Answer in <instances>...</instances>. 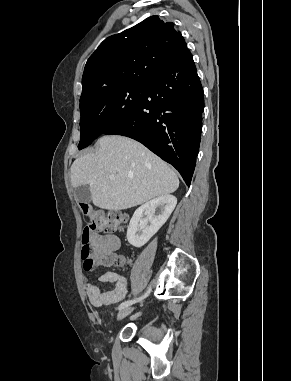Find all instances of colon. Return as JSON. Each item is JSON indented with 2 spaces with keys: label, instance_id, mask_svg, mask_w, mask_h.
<instances>
[{
  "label": "colon",
  "instance_id": "5ec220e1",
  "mask_svg": "<svg viewBox=\"0 0 291 381\" xmlns=\"http://www.w3.org/2000/svg\"><path fill=\"white\" fill-rule=\"evenodd\" d=\"M80 208L84 216L89 220V224L84 228L81 236V259L86 271H92L96 265L94 255L98 253L96 246L92 244L94 234L104 232H114L121 230L127 223L128 217L119 211L105 212L89 203H80ZM98 258L102 265H122L124 260L112 252H103Z\"/></svg>",
  "mask_w": 291,
  "mask_h": 381
}]
</instances>
